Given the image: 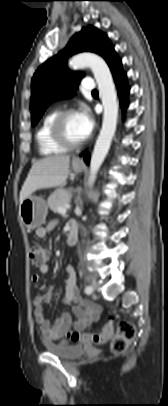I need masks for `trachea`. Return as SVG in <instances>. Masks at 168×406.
Masks as SVG:
<instances>
[{"label": "trachea", "mask_w": 168, "mask_h": 406, "mask_svg": "<svg viewBox=\"0 0 168 406\" xmlns=\"http://www.w3.org/2000/svg\"><path fill=\"white\" fill-rule=\"evenodd\" d=\"M92 93H93V94H96V93H98V91H97V90H93Z\"/></svg>", "instance_id": "trachea-1"}]
</instances>
